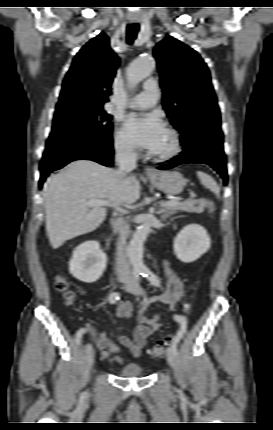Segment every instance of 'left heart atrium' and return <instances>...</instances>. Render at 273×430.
<instances>
[{
    "instance_id": "obj_1",
    "label": "left heart atrium",
    "mask_w": 273,
    "mask_h": 430,
    "mask_svg": "<svg viewBox=\"0 0 273 430\" xmlns=\"http://www.w3.org/2000/svg\"><path fill=\"white\" fill-rule=\"evenodd\" d=\"M125 128L136 144L152 152L159 147L166 133L164 123L155 114H132L127 118Z\"/></svg>"
}]
</instances>
